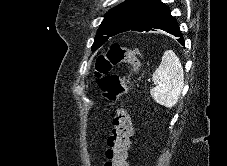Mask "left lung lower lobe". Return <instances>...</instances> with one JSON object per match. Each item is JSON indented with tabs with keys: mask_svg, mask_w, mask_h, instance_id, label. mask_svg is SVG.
I'll list each match as a JSON object with an SVG mask.
<instances>
[{
	"mask_svg": "<svg viewBox=\"0 0 227 166\" xmlns=\"http://www.w3.org/2000/svg\"><path fill=\"white\" fill-rule=\"evenodd\" d=\"M164 30L175 37L184 46L179 26L174 17L171 16L169 8L160 0H147L137 14L132 26L127 31H155Z\"/></svg>",
	"mask_w": 227,
	"mask_h": 166,
	"instance_id": "obj_1",
	"label": "left lung lower lobe"
}]
</instances>
